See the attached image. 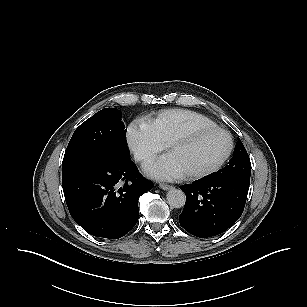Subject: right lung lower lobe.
I'll list each match as a JSON object with an SVG mask.
<instances>
[{"label":"right lung lower lobe","instance_id":"obj_1","mask_svg":"<svg viewBox=\"0 0 307 307\" xmlns=\"http://www.w3.org/2000/svg\"><path fill=\"white\" fill-rule=\"evenodd\" d=\"M69 212L87 233L118 239L137 223L141 195L153 183L129 157L101 154L62 168Z\"/></svg>","mask_w":307,"mask_h":307}]
</instances>
